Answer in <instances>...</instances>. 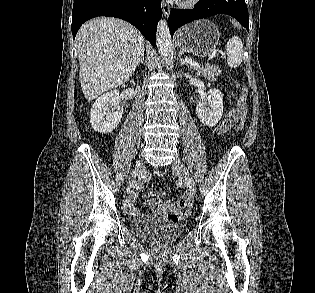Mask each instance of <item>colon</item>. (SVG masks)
<instances>
[{"label": "colon", "instance_id": "1", "mask_svg": "<svg viewBox=\"0 0 315 293\" xmlns=\"http://www.w3.org/2000/svg\"><path fill=\"white\" fill-rule=\"evenodd\" d=\"M234 82L236 83V85L240 89V95H239L238 105H237L239 118H237V120H236V125H237V129L241 130L243 127H246V125L248 123L247 118H249V116H250L249 106L247 105L248 91H247L246 87L241 85L236 80H234ZM176 204L179 208H185L187 206V199L184 197H179L176 200Z\"/></svg>", "mask_w": 315, "mask_h": 293}]
</instances>
